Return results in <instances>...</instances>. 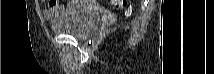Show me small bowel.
Returning a JSON list of instances; mask_svg holds the SVG:
<instances>
[{
  "label": "small bowel",
  "instance_id": "1",
  "mask_svg": "<svg viewBox=\"0 0 214 74\" xmlns=\"http://www.w3.org/2000/svg\"><path fill=\"white\" fill-rule=\"evenodd\" d=\"M89 3L92 4V2H89ZM67 6H73V5H67ZM67 6L59 4L58 2H55V3L50 2L44 10V15L48 19L54 18L63 8Z\"/></svg>",
  "mask_w": 214,
  "mask_h": 74
}]
</instances>
